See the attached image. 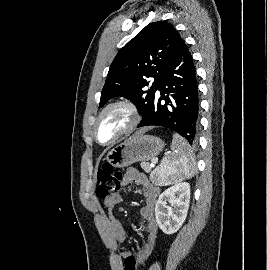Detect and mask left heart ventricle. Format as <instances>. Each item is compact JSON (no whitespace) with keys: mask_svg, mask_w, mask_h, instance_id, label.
<instances>
[{"mask_svg":"<svg viewBox=\"0 0 267 270\" xmlns=\"http://www.w3.org/2000/svg\"><path fill=\"white\" fill-rule=\"evenodd\" d=\"M130 120L131 116L125 108L116 107L107 111L98 125L99 140L109 142L128 126Z\"/></svg>","mask_w":267,"mask_h":270,"instance_id":"left-heart-ventricle-1","label":"left heart ventricle"}]
</instances>
